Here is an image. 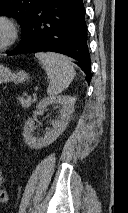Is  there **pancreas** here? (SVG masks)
<instances>
[{
	"label": "pancreas",
	"mask_w": 128,
	"mask_h": 213,
	"mask_svg": "<svg viewBox=\"0 0 128 213\" xmlns=\"http://www.w3.org/2000/svg\"><path fill=\"white\" fill-rule=\"evenodd\" d=\"M17 100L24 109H28L36 101L35 98L32 99L31 97H27L26 99L23 97H18Z\"/></svg>",
	"instance_id": "pancreas-1"
}]
</instances>
